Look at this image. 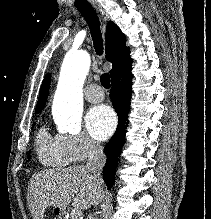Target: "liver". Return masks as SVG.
<instances>
[{
  "mask_svg": "<svg viewBox=\"0 0 211 219\" xmlns=\"http://www.w3.org/2000/svg\"><path fill=\"white\" fill-rule=\"evenodd\" d=\"M103 188L95 182L86 166L49 169L34 174L28 185L27 201L33 219H43L47 207L62 210L72 202L80 210L98 203Z\"/></svg>",
  "mask_w": 211,
  "mask_h": 219,
  "instance_id": "obj_1",
  "label": "liver"
}]
</instances>
